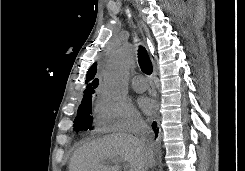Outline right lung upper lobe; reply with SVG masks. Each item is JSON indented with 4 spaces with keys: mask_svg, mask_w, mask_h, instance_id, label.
<instances>
[{
    "mask_svg": "<svg viewBox=\"0 0 245 171\" xmlns=\"http://www.w3.org/2000/svg\"><path fill=\"white\" fill-rule=\"evenodd\" d=\"M96 73V64H93L86 75L87 89L84 91V98L91 96L94 93V89L98 86V79L94 78Z\"/></svg>",
    "mask_w": 245,
    "mask_h": 171,
    "instance_id": "1",
    "label": "right lung upper lobe"
}]
</instances>
